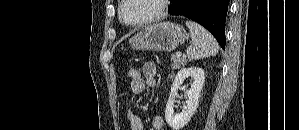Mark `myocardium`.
<instances>
[{
  "label": "myocardium",
  "mask_w": 299,
  "mask_h": 130,
  "mask_svg": "<svg viewBox=\"0 0 299 130\" xmlns=\"http://www.w3.org/2000/svg\"><path fill=\"white\" fill-rule=\"evenodd\" d=\"M132 1H134V0H122L120 2L119 8H118V16H119L120 22L129 27H139V26L153 23V22L161 19L166 14L169 3H170L169 0H154L157 2V5H158V8L155 13H153L152 15H150L146 18L135 21V22H127L123 18V9L127 4H129Z\"/></svg>",
  "instance_id": "1"
}]
</instances>
